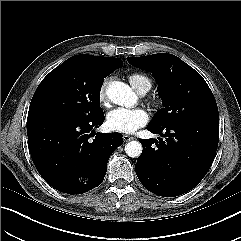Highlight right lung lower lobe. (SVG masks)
Here are the masks:
<instances>
[{
	"instance_id": "right-lung-lower-lobe-1",
	"label": "right lung lower lobe",
	"mask_w": 241,
	"mask_h": 241,
	"mask_svg": "<svg viewBox=\"0 0 241 241\" xmlns=\"http://www.w3.org/2000/svg\"><path fill=\"white\" fill-rule=\"evenodd\" d=\"M104 119L102 113L91 119L44 116L27 120L31 158L50 186L73 195L103 182L110 155L123 144L117 132L95 135L93 128Z\"/></svg>"
}]
</instances>
